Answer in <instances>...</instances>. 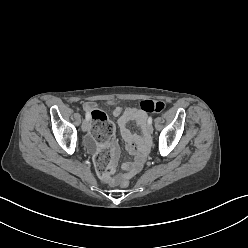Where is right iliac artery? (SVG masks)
Returning a JSON list of instances; mask_svg holds the SVG:
<instances>
[{
	"label": "right iliac artery",
	"mask_w": 248,
	"mask_h": 248,
	"mask_svg": "<svg viewBox=\"0 0 248 248\" xmlns=\"http://www.w3.org/2000/svg\"><path fill=\"white\" fill-rule=\"evenodd\" d=\"M86 119L89 120L90 119V114L86 113Z\"/></svg>",
	"instance_id": "82829eb1"
}]
</instances>
